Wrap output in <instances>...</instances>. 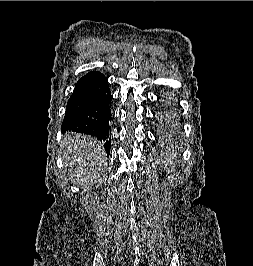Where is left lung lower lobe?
<instances>
[{
    "label": "left lung lower lobe",
    "mask_w": 253,
    "mask_h": 266,
    "mask_svg": "<svg viewBox=\"0 0 253 266\" xmlns=\"http://www.w3.org/2000/svg\"><path fill=\"white\" fill-rule=\"evenodd\" d=\"M162 121H163L164 123L167 122V120H166V116H164V118L162 119Z\"/></svg>",
    "instance_id": "obj_1"
}]
</instances>
